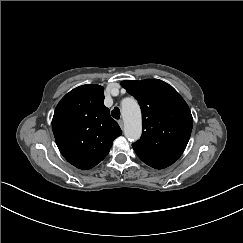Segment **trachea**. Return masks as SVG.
<instances>
[{
    "label": "trachea",
    "mask_w": 243,
    "mask_h": 243,
    "mask_svg": "<svg viewBox=\"0 0 243 243\" xmlns=\"http://www.w3.org/2000/svg\"><path fill=\"white\" fill-rule=\"evenodd\" d=\"M111 114H112V117H113V118H115V119H119V118H120V115H121V113H120V109H119L118 107H115V108L112 110Z\"/></svg>",
    "instance_id": "trachea-1"
}]
</instances>
